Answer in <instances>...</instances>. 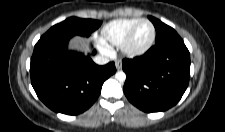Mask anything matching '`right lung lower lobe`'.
<instances>
[{
    "instance_id": "1",
    "label": "right lung lower lobe",
    "mask_w": 225,
    "mask_h": 132,
    "mask_svg": "<svg viewBox=\"0 0 225 132\" xmlns=\"http://www.w3.org/2000/svg\"><path fill=\"white\" fill-rule=\"evenodd\" d=\"M71 37L43 35L34 47L30 75L45 105L58 113L77 115L96 101L104 81L116 68L114 62L99 66L89 56L67 51Z\"/></svg>"
}]
</instances>
